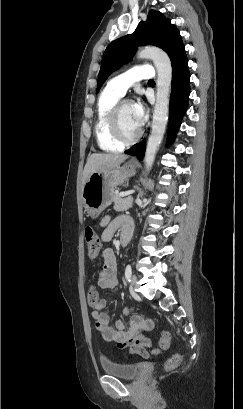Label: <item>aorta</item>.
<instances>
[{"mask_svg": "<svg viewBox=\"0 0 243 409\" xmlns=\"http://www.w3.org/2000/svg\"><path fill=\"white\" fill-rule=\"evenodd\" d=\"M141 59H151L157 70V95L154 106L151 134L145 152V167L150 171L156 152L162 142L169 113V101L172 83V66L168 55L157 47H145L137 53Z\"/></svg>", "mask_w": 243, "mask_h": 409, "instance_id": "1", "label": "aorta"}]
</instances>
